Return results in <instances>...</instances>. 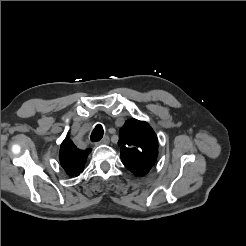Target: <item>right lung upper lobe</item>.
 I'll return each instance as SVG.
<instances>
[{
	"mask_svg": "<svg viewBox=\"0 0 246 246\" xmlns=\"http://www.w3.org/2000/svg\"><path fill=\"white\" fill-rule=\"evenodd\" d=\"M90 152L91 149H78L69 138H66L60 146V164L68 175L79 176L83 172L87 156Z\"/></svg>",
	"mask_w": 246,
	"mask_h": 246,
	"instance_id": "1",
	"label": "right lung upper lobe"
}]
</instances>
